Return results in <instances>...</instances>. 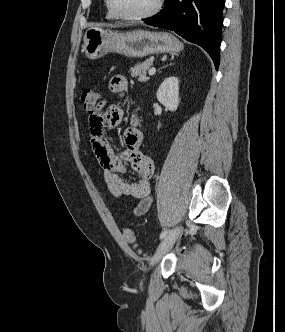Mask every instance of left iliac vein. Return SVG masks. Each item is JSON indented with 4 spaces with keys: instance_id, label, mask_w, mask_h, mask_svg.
<instances>
[{
    "instance_id": "obj_1",
    "label": "left iliac vein",
    "mask_w": 285,
    "mask_h": 332,
    "mask_svg": "<svg viewBox=\"0 0 285 332\" xmlns=\"http://www.w3.org/2000/svg\"><path fill=\"white\" fill-rule=\"evenodd\" d=\"M179 231V227L173 228L162 240V242L158 246L156 254L151 259V265H154L161 258V256L173 246L178 237Z\"/></svg>"
}]
</instances>
